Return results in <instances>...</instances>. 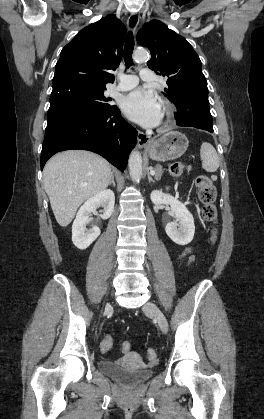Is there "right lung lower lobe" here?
<instances>
[{"instance_id":"98d812e1","label":"right lung lower lobe","mask_w":264,"mask_h":419,"mask_svg":"<svg viewBox=\"0 0 264 419\" xmlns=\"http://www.w3.org/2000/svg\"><path fill=\"white\" fill-rule=\"evenodd\" d=\"M137 134L117 107L109 110L64 107L48 118L41 169L59 151L83 149L100 154L123 171L137 143Z\"/></svg>"}]
</instances>
